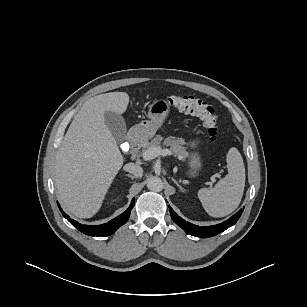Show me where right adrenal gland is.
Here are the masks:
<instances>
[{"label":"right adrenal gland","instance_id":"right-adrenal-gland-1","mask_svg":"<svg viewBox=\"0 0 307 307\" xmlns=\"http://www.w3.org/2000/svg\"><path fill=\"white\" fill-rule=\"evenodd\" d=\"M127 177H130L132 180L135 178V176L131 175V174H126Z\"/></svg>","mask_w":307,"mask_h":307}]
</instances>
